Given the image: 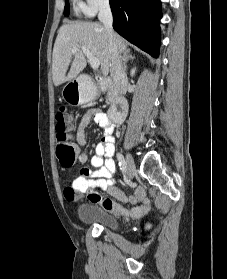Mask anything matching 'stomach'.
<instances>
[{
	"label": "stomach",
	"mask_w": 227,
	"mask_h": 279,
	"mask_svg": "<svg viewBox=\"0 0 227 279\" xmlns=\"http://www.w3.org/2000/svg\"><path fill=\"white\" fill-rule=\"evenodd\" d=\"M97 95L96 87L80 79L69 81L62 90L63 99L71 105H82L93 100Z\"/></svg>",
	"instance_id": "stomach-1"
}]
</instances>
